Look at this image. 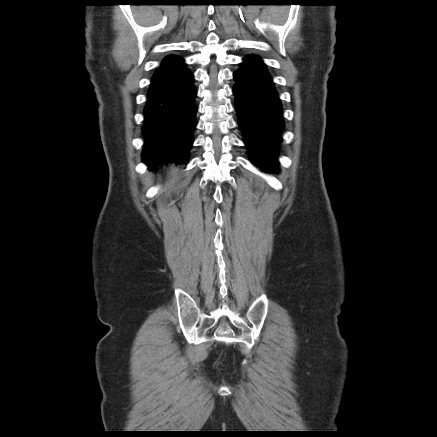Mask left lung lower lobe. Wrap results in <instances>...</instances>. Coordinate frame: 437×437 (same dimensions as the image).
<instances>
[{
  "label": "left lung lower lobe",
  "mask_w": 437,
  "mask_h": 437,
  "mask_svg": "<svg viewBox=\"0 0 437 437\" xmlns=\"http://www.w3.org/2000/svg\"><path fill=\"white\" fill-rule=\"evenodd\" d=\"M235 110L252 163L277 170V147L282 140V105L266 65L257 55L243 58L234 72Z\"/></svg>",
  "instance_id": "0a47b994"
}]
</instances>
